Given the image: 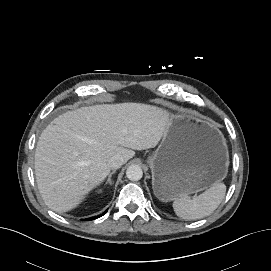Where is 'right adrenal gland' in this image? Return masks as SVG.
<instances>
[{
    "label": "right adrenal gland",
    "mask_w": 271,
    "mask_h": 271,
    "mask_svg": "<svg viewBox=\"0 0 271 271\" xmlns=\"http://www.w3.org/2000/svg\"><path fill=\"white\" fill-rule=\"evenodd\" d=\"M115 172H116V171L113 170V171L109 174L108 179H107V181H106V184L112 185L111 177H112V175H113Z\"/></svg>",
    "instance_id": "2a0ac1e0"
}]
</instances>
